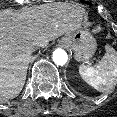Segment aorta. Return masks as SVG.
Returning <instances> with one entry per match:
<instances>
[{"label": "aorta", "mask_w": 117, "mask_h": 117, "mask_svg": "<svg viewBox=\"0 0 117 117\" xmlns=\"http://www.w3.org/2000/svg\"><path fill=\"white\" fill-rule=\"evenodd\" d=\"M52 58L55 64L61 65V66L64 65L68 60L67 53L63 49H56L53 52Z\"/></svg>", "instance_id": "obj_1"}]
</instances>
